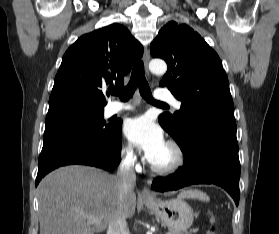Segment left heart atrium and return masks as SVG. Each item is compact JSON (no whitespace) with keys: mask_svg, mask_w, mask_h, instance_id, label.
I'll use <instances>...</instances> for the list:
<instances>
[{"mask_svg":"<svg viewBox=\"0 0 279 234\" xmlns=\"http://www.w3.org/2000/svg\"><path fill=\"white\" fill-rule=\"evenodd\" d=\"M124 132L131 143L144 150L149 161L166 145L162 129L146 115L129 119Z\"/></svg>","mask_w":279,"mask_h":234,"instance_id":"left-heart-atrium-1","label":"left heart atrium"}]
</instances>
